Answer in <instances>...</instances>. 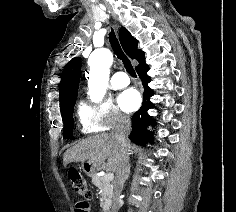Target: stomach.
Listing matches in <instances>:
<instances>
[{"mask_svg": "<svg viewBox=\"0 0 236 212\" xmlns=\"http://www.w3.org/2000/svg\"><path fill=\"white\" fill-rule=\"evenodd\" d=\"M82 169L88 176H93L96 173V170L98 169L94 164L85 161L82 163Z\"/></svg>", "mask_w": 236, "mask_h": 212, "instance_id": "obj_1", "label": "stomach"}]
</instances>
